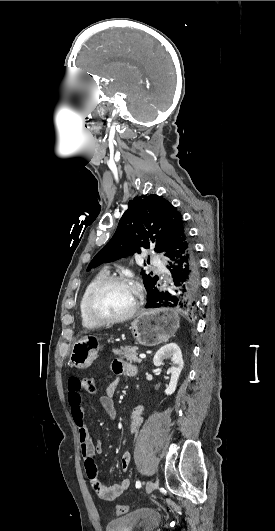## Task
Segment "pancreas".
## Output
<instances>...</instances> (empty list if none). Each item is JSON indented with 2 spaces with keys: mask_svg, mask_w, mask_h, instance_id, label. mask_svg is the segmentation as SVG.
I'll return each mask as SVG.
<instances>
[{
  "mask_svg": "<svg viewBox=\"0 0 275 531\" xmlns=\"http://www.w3.org/2000/svg\"><path fill=\"white\" fill-rule=\"evenodd\" d=\"M138 347H120V349H112L114 355H119L120 359H127L129 363H140L136 353Z\"/></svg>",
  "mask_w": 275,
  "mask_h": 531,
  "instance_id": "pancreas-1",
  "label": "pancreas"
}]
</instances>
